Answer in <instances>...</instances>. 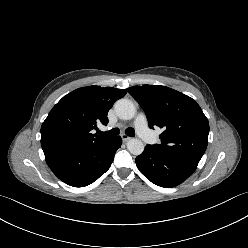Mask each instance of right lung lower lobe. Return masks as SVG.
<instances>
[{
  "label": "right lung lower lobe",
  "mask_w": 248,
  "mask_h": 248,
  "mask_svg": "<svg viewBox=\"0 0 248 248\" xmlns=\"http://www.w3.org/2000/svg\"><path fill=\"white\" fill-rule=\"evenodd\" d=\"M121 144V137L116 136L89 148L48 150L44 155L48 166L61 181L73 187H84L110 168Z\"/></svg>",
  "instance_id": "obj_1"
}]
</instances>
